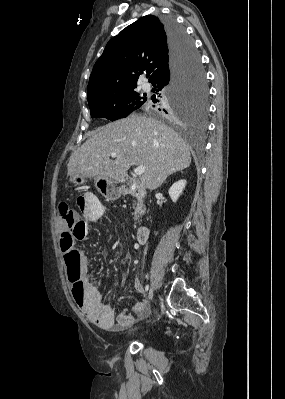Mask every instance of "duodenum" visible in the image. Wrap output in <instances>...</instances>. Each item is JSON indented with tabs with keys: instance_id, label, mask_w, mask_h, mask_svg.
<instances>
[{
	"instance_id": "obj_1",
	"label": "duodenum",
	"mask_w": 285,
	"mask_h": 399,
	"mask_svg": "<svg viewBox=\"0 0 285 399\" xmlns=\"http://www.w3.org/2000/svg\"><path fill=\"white\" fill-rule=\"evenodd\" d=\"M125 191L127 194L138 197V198H145V195L143 191L140 189L139 186L131 183V182H126L125 183ZM150 227L146 224H142L137 232H136V240L139 243H145L148 240V237L150 235Z\"/></svg>"
}]
</instances>
